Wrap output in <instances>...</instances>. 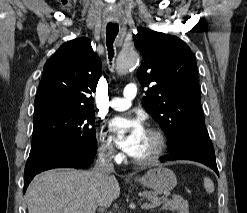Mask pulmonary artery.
<instances>
[{
    "mask_svg": "<svg viewBox=\"0 0 247 213\" xmlns=\"http://www.w3.org/2000/svg\"><path fill=\"white\" fill-rule=\"evenodd\" d=\"M137 94V87L134 84H128L123 91V97H115L109 101V106L115 110H126L131 106L132 99Z\"/></svg>",
    "mask_w": 247,
    "mask_h": 213,
    "instance_id": "obj_1",
    "label": "pulmonary artery"
}]
</instances>
